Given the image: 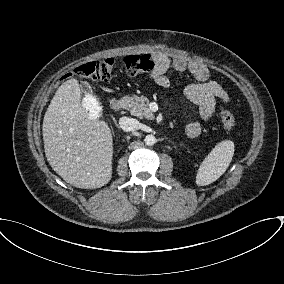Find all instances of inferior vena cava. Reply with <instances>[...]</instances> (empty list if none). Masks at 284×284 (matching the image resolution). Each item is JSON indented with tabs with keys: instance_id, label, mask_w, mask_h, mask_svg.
Returning a JSON list of instances; mask_svg holds the SVG:
<instances>
[{
	"instance_id": "1",
	"label": "inferior vena cava",
	"mask_w": 284,
	"mask_h": 284,
	"mask_svg": "<svg viewBox=\"0 0 284 284\" xmlns=\"http://www.w3.org/2000/svg\"><path fill=\"white\" fill-rule=\"evenodd\" d=\"M120 128L126 132H132L138 129L139 122L138 120L130 117H121L119 119Z\"/></svg>"
}]
</instances>
